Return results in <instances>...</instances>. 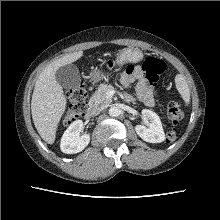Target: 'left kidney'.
I'll return each mask as SVG.
<instances>
[{"mask_svg": "<svg viewBox=\"0 0 220 220\" xmlns=\"http://www.w3.org/2000/svg\"><path fill=\"white\" fill-rule=\"evenodd\" d=\"M143 117L147 118L150 123L147 127L144 125H136L135 131L138 136L149 143H161L165 140V133L159 116L148 109L142 110Z\"/></svg>", "mask_w": 220, "mask_h": 220, "instance_id": "1", "label": "left kidney"}]
</instances>
